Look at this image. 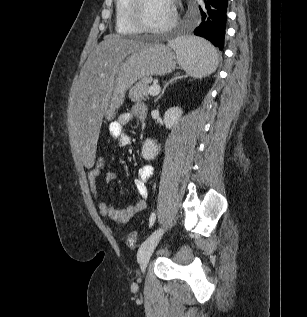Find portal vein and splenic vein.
Segmentation results:
<instances>
[{"instance_id":"portal-vein-and-splenic-vein-1","label":"portal vein and splenic vein","mask_w":307,"mask_h":317,"mask_svg":"<svg viewBox=\"0 0 307 317\" xmlns=\"http://www.w3.org/2000/svg\"><path fill=\"white\" fill-rule=\"evenodd\" d=\"M161 87L158 84H153L152 86L149 87L148 93L151 96H156L160 93Z\"/></svg>"}]
</instances>
